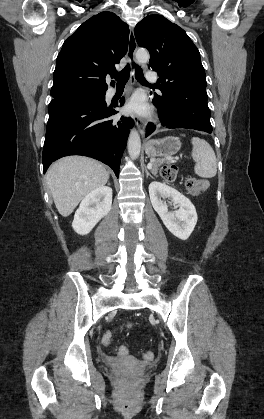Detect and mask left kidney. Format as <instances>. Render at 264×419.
<instances>
[{
	"instance_id": "left-kidney-1",
	"label": "left kidney",
	"mask_w": 264,
	"mask_h": 419,
	"mask_svg": "<svg viewBox=\"0 0 264 419\" xmlns=\"http://www.w3.org/2000/svg\"><path fill=\"white\" fill-rule=\"evenodd\" d=\"M149 196L154 210L162 219L166 228L177 238L186 240L193 232L197 223V213L191 201L176 189L165 183L153 181L149 185ZM178 205L175 212L168 210L165 200Z\"/></svg>"
}]
</instances>
